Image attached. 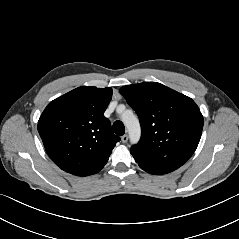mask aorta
I'll list each match as a JSON object with an SVG mask.
<instances>
[{"label": "aorta", "instance_id": "aorta-1", "mask_svg": "<svg viewBox=\"0 0 239 239\" xmlns=\"http://www.w3.org/2000/svg\"><path fill=\"white\" fill-rule=\"evenodd\" d=\"M122 122L128 130L130 140L132 143H137L140 139L141 128L138 118L131 110H126L122 116Z\"/></svg>", "mask_w": 239, "mask_h": 239}]
</instances>
